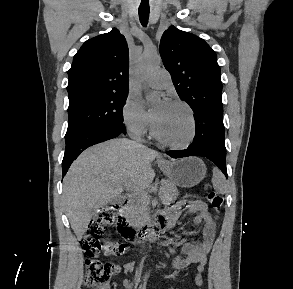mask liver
<instances>
[{"mask_svg":"<svg viewBox=\"0 0 293 289\" xmlns=\"http://www.w3.org/2000/svg\"><path fill=\"white\" fill-rule=\"evenodd\" d=\"M157 156L136 141L118 138L88 148L73 162L63 181V203L78 239L94 212L118 201L123 188L141 192L151 184Z\"/></svg>","mask_w":293,"mask_h":289,"instance_id":"obj_1","label":"liver"}]
</instances>
